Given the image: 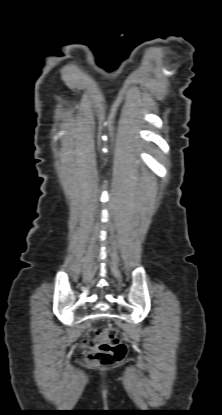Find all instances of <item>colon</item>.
Masks as SVG:
<instances>
[{
  "label": "colon",
  "instance_id": "obj_1",
  "mask_svg": "<svg viewBox=\"0 0 222 415\" xmlns=\"http://www.w3.org/2000/svg\"><path fill=\"white\" fill-rule=\"evenodd\" d=\"M83 344L89 349V362L112 366L122 362L127 356V346L119 340L118 330L107 326L101 329L91 328Z\"/></svg>",
  "mask_w": 222,
  "mask_h": 415
}]
</instances>
